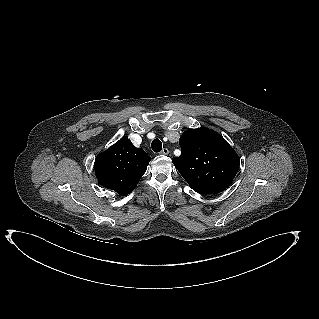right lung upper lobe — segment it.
Instances as JSON below:
<instances>
[{"instance_id":"obj_1","label":"right lung upper lobe","mask_w":319,"mask_h":319,"mask_svg":"<svg viewBox=\"0 0 319 319\" xmlns=\"http://www.w3.org/2000/svg\"><path fill=\"white\" fill-rule=\"evenodd\" d=\"M150 160L143 149L123 137L97 156L95 174L102 186L126 196L134 190Z\"/></svg>"}]
</instances>
